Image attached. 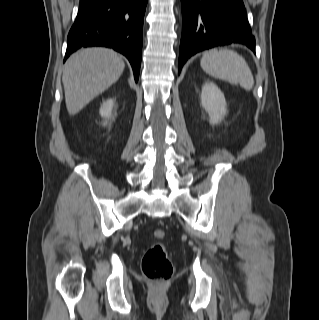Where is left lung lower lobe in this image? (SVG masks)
<instances>
[{"label": "left lung lower lobe", "mask_w": 319, "mask_h": 320, "mask_svg": "<svg viewBox=\"0 0 319 320\" xmlns=\"http://www.w3.org/2000/svg\"><path fill=\"white\" fill-rule=\"evenodd\" d=\"M182 37L178 71L195 53L240 43L255 52V38L242 0H181Z\"/></svg>", "instance_id": "1"}]
</instances>
